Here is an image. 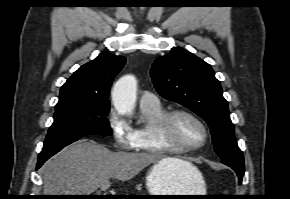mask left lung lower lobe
<instances>
[{"mask_svg": "<svg viewBox=\"0 0 290 199\" xmlns=\"http://www.w3.org/2000/svg\"><path fill=\"white\" fill-rule=\"evenodd\" d=\"M222 163L231 167L238 175L239 183H241L244 175V160L243 159H222Z\"/></svg>", "mask_w": 290, "mask_h": 199, "instance_id": "left-lung-lower-lobe-1", "label": "left lung lower lobe"}]
</instances>
